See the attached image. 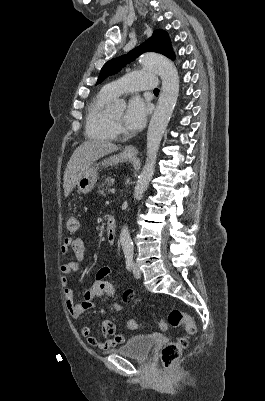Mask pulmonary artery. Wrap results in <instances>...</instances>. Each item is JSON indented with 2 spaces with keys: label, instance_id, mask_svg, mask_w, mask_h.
<instances>
[{
  "label": "pulmonary artery",
  "instance_id": "1",
  "mask_svg": "<svg viewBox=\"0 0 265 401\" xmlns=\"http://www.w3.org/2000/svg\"><path fill=\"white\" fill-rule=\"evenodd\" d=\"M107 91L117 97L122 92L125 95H139L140 90H154L156 88L155 77L151 72H127L119 81L106 86Z\"/></svg>",
  "mask_w": 265,
  "mask_h": 401
}]
</instances>
